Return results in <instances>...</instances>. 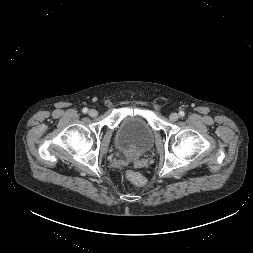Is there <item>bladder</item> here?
Segmentation results:
<instances>
[{
  "label": "bladder",
  "instance_id": "bladder-1",
  "mask_svg": "<svg viewBox=\"0 0 253 253\" xmlns=\"http://www.w3.org/2000/svg\"><path fill=\"white\" fill-rule=\"evenodd\" d=\"M115 143L127 156L137 157L152 147L154 131L144 118L127 117L118 127Z\"/></svg>",
  "mask_w": 253,
  "mask_h": 253
}]
</instances>
